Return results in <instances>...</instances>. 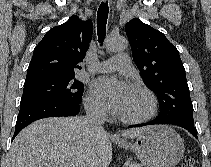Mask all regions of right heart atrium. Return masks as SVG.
<instances>
[{"mask_svg":"<svg viewBox=\"0 0 211 167\" xmlns=\"http://www.w3.org/2000/svg\"><path fill=\"white\" fill-rule=\"evenodd\" d=\"M87 109L98 115H103L106 112L105 105L93 94H88L85 99Z\"/></svg>","mask_w":211,"mask_h":167,"instance_id":"1","label":"right heart atrium"}]
</instances>
